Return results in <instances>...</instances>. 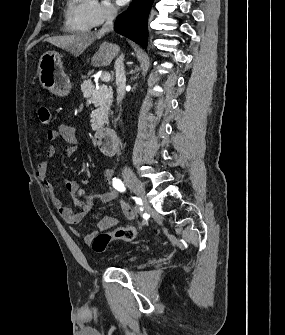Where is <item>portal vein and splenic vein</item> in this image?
<instances>
[{"label": "portal vein and splenic vein", "instance_id": "18ae733b", "mask_svg": "<svg viewBox=\"0 0 285 335\" xmlns=\"http://www.w3.org/2000/svg\"><path fill=\"white\" fill-rule=\"evenodd\" d=\"M102 82H110L111 80V76L110 74H102V76H100Z\"/></svg>", "mask_w": 285, "mask_h": 335}]
</instances>
